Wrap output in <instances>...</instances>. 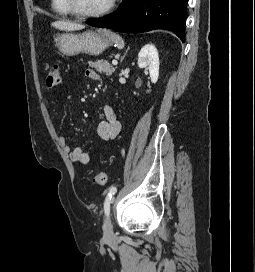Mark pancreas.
Wrapping results in <instances>:
<instances>
[{
    "instance_id": "pancreas-1",
    "label": "pancreas",
    "mask_w": 255,
    "mask_h": 272,
    "mask_svg": "<svg viewBox=\"0 0 255 272\" xmlns=\"http://www.w3.org/2000/svg\"><path fill=\"white\" fill-rule=\"evenodd\" d=\"M89 67L96 69L100 74H105L107 76L112 75L116 67L111 66L107 60H97L95 62L89 61Z\"/></svg>"
}]
</instances>
